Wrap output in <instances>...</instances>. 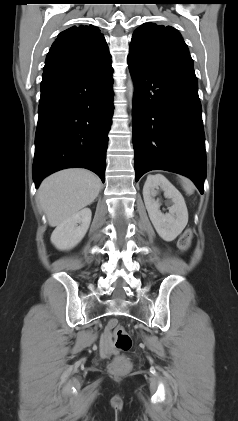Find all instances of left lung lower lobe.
<instances>
[{"mask_svg": "<svg viewBox=\"0 0 238 421\" xmlns=\"http://www.w3.org/2000/svg\"><path fill=\"white\" fill-rule=\"evenodd\" d=\"M128 67L135 84L136 181L148 171L166 170L189 177L203 194L205 135L193 66L152 68L128 56Z\"/></svg>", "mask_w": 238, "mask_h": 421, "instance_id": "left-lung-lower-lobe-1", "label": "left lung lower lobe"}]
</instances>
